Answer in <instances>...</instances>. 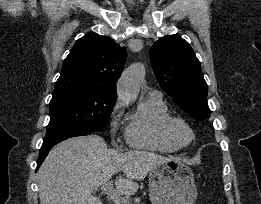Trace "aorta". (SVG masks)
I'll use <instances>...</instances> for the list:
<instances>
[{
    "mask_svg": "<svg viewBox=\"0 0 261 204\" xmlns=\"http://www.w3.org/2000/svg\"><path fill=\"white\" fill-rule=\"evenodd\" d=\"M144 73L145 68L141 63L132 64L122 73L118 83L121 99L133 101L137 98Z\"/></svg>",
    "mask_w": 261,
    "mask_h": 204,
    "instance_id": "762f6f07",
    "label": "aorta"
}]
</instances>
